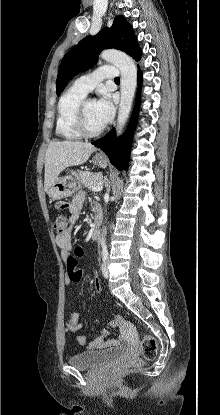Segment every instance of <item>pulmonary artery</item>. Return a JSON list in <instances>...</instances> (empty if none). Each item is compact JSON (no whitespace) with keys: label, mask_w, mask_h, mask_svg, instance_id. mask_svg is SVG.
<instances>
[{"label":"pulmonary artery","mask_w":220,"mask_h":415,"mask_svg":"<svg viewBox=\"0 0 220 415\" xmlns=\"http://www.w3.org/2000/svg\"><path fill=\"white\" fill-rule=\"evenodd\" d=\"M118 74L119 70L117 67L113 65H103L95 71L77 78L72 87L84 94H88L103 79H113L116 78Z\"/></svg>","instance_id":"pulmonary-artery-1"}]
</instances>
